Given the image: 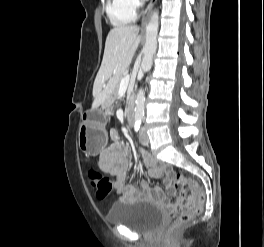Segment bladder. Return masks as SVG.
<instances>
[{"mask_svg": "<svg viewBox=\"0 0 264 247\" xmlns=\"http://www.w3.org/2000/svg\"><path fill=\"white\" fill-rule=\"evenodd\" d=\"M165 212L156 205L144 201H119L107 214L110 223L122 224L143 234L152 233L165 222Z\"/></svg>", "mask_w": 264, "mask_h": 247, "instance_id": "1", "label": "bladder"}]
</instances>
